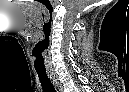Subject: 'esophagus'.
I'll list each match as a JSON object with an SVG mask.
<instances>
[{
	"label": "esophagus",
	"mask_w": 129,
	"mask_h": 92,
	"mask_svg": "<svg viewBox=\"0 0 129 92\" xmlns=\"http://www.w3.org/2000/svg\"><path fill=\"white\" fill-rule=\"evenodd\" d=\"M50 79L56 89L57 92H62L63 91V87L62 84L59 82V80L57 79V77H55L53 74H50Z\"/></svg>",
	"instance_id": "esophagus-1"
}]
</instances>
